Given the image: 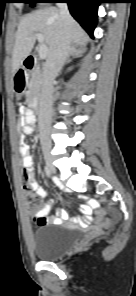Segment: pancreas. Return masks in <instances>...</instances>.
Masks as SVG:
<instances>
[{
  "label": "pancreas",
  "mask_w": 136,
  "mask_h": 296,
  "mask_svg": "<svg viewBox=\"0 0 136 296\" xmlns=\"http://www.w3.org/2000/svg\"><path fill=\"white\" fill-rule=\"evenodd\" d=\"M31 78L28 85V100L29 102H36L41 89L42 84V72L39 67H36L31 72Z\"/></svg>",
  "instance_id": "obj_1"
}]
</instances>
